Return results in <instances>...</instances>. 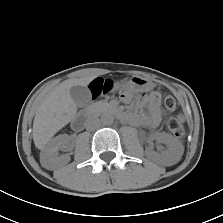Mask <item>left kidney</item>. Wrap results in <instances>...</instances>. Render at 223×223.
I'll list each match as a JSON object with an SVG mask.
<instances>
[{"instance_id": "1", "label": "left kidney", "mask_w": 223, "mask_h": 223, "mask_svg": "<svg viewBox=\"0 0 223 223\" xmlns=\"http://www.w3.org/2000/svg\"><path fill=\"white\" fill-rule=\"evenodd\" d=\"M152 139H155L159 143L165 144L166 148L159 146L160 152H156L149 147L146 150V155L149 159L167 166L173 165L180 160L184 151L183 146L173 136L162 132L155 133L152 136Z\"/></svg>"}]
</instances>
